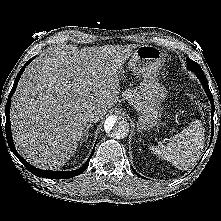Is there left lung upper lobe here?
Here are the masks:
<instances>
[{"mask_svg": "<svg viewBox=\"0 0 221 221\" xmlns=\"http://www.w3.org/2000/svg\"><path fill=\"white\" fill-rule=\"evenodd\" d=\"M187 69L192 72L202 70L201 67L190 58H187Z\"/></svg>", "mask_w": 221, "mask_h": 221, "instance_id": "5c2ea615", "label": "left lung upper lobe"}]
</instances>
